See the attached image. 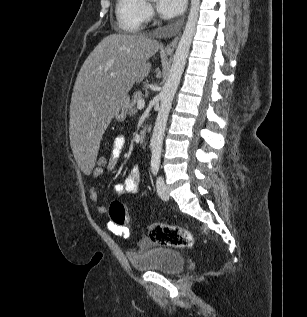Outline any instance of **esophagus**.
Instances as JSON below:
<instances>
[{
	"instance_id": "obj_1",
	"label": "esophagus",
	"mask_w": 307,
	"mask_h": 317,
	"mask_svg": "<svg viewBox=\"0 0 307 317\" xmlns=\"http://www.w3.org/2000/svg\"><path fill=\"white\" fill-rule=\"evenodd\" d=\"M179 40V36H177L176 38H174L165 48H164V52L165 53H172L174 51V49L177 46Z\"/></svg>"
}]
</instances>
